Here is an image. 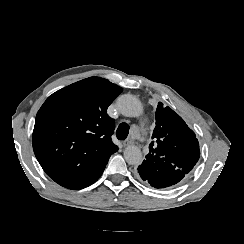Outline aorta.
<instances>
[{"label":"aorta","instance_id":"762f6f07","mask_svg":"<svg viewBox=\"0 0 244 244\" xmlns=\"http://www.w3.org/2000/svg\"><path fill=\"white\" fill-rule=\"evenodd\" d=\"M117 108L127 117H138L143 112L140 101L132 95H122L117 99ZM124 158L129 165H139L142 162L141 150L135 145H129L124 151Z\"/></svg>","mask_w":244,"mask_h":244}]
</instances>
